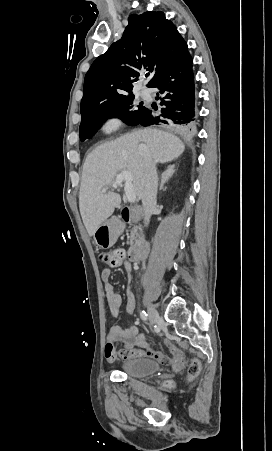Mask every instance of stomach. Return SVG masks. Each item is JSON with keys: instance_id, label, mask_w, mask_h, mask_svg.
<instances>
[{"instance_id": "stomach-1", "label": "stomach", "mask_w": 272, "mask_h": 451, "mask_svg": "<svg viewBox=\"0 0 272 451\" xmlns=\"http://www.w3.org/2000/svg\"><path fill=\"white\" fill-rule=\"evenodd\" d=\"M94 241L98 247L102 249H108L112 247L117 239V233L115 227L111 226L109 222H104L101 226L97 227L93 233Z\"/></svg>"}]
</instances>
